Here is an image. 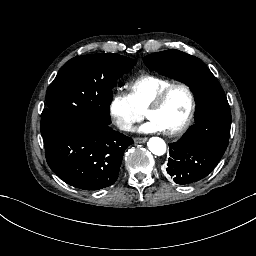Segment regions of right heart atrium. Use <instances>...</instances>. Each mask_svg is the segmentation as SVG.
<instances>
[{"label": "right heart atrium", "mask_w": 256, "mask_h": 256, "mask_svg": "<svg viewBox=\"0 0 256 256\" xmlns=\"http://www.w3.org/2000/svg\"><path fill=\"white\" fill-rule=\"evenodd\" d=\"M143 118V114L141 111L136 110L135 112H133V114L130 117V120L133 122H140Z\"/></svg>", "instance_id": "right-heart-atrium-1"}]
</instances>
